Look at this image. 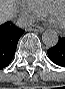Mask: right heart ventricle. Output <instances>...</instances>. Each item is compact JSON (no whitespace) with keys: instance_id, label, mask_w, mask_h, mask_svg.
<instances>
[{"instance_id":"obj_1","label":"right heart ventricle","mask_w":65,"mask_h":89,"mask_svg":"<svg viewBox=\"0 0 65 89\" xmlns=\"http://www.w3.org/2000/svg\"><path fill=\"white\" fill-rule=\"evenodd\" d=\"M33 2L39 9H41L43 12H46L48 6L55 2L60 0H30Z\"/></svg>"}]
</instances>
